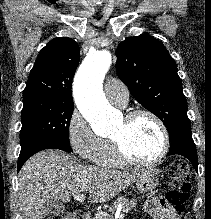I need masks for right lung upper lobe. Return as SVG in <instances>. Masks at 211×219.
<instances>
[{"label": "right lung upper lobe", "instance_id": "cb5924a9", "mask_svg": "<svg viewBox=\"0 0 211 219\" xmlns=\"http://www.w3.org/2000/svg\"><path fill=\"white\" fill-rule=\"evenodd\" d=\"M79 45L68 37L51 40L39 53L23 91V102L48 99L72 103L71 85L80 59Z\"/></svg>", "mask_w": 211, "mask_h": 219}]
</instances>
